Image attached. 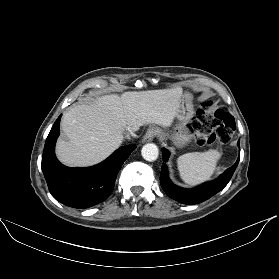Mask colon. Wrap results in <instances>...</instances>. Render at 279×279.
<instances>
[{
	"label": "colon",
	"mask_w": 279,
	"mask_h": 279,
	"mask_svg": "<svg viewBox=\"0 0 279 279\" xmlns=\"http://www.w3.org/2000/svg\"><path fill=\"white\" fill-rule=\"evenodd\" d=\"M233 117L221 109L212 110V103H205L192 121L195 143L198 146H212L227 143L233 133Z\"/></svg>",
	"instance_id": "5ec220e1"
}]
</instances>
